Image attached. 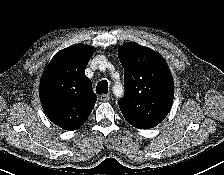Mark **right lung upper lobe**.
Returning <instances> with one entry per match:
<instances>
[{
	"instance_id": "right-lung-upper-lobe-1",
	"label": "right lung upper lobe",
	"mask_w": 224,
	"mask_h": 175,
	"mask_svg": "<svg viewBox=\"0 0 224 175\" xmlns=\"http://www.w3.org/2000/svg\"><path fill=\"white\" fill-rule=\"evenodd\" d=\"M94 48L78 44L58 52L48 64L40 83V100L48 118L73 131L88 119L97 101L85 68Z\"/></svg>"
}]
</instances>
